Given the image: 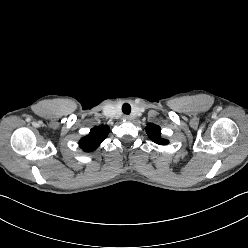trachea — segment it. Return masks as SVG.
I'll return each instance as SVG.
<instances>
[{
	"mask_svg": "<svg viewBox=\"0 0 248 248\" xmlns=\"http://www.w3.org/2000/svg\"><path fill=\"white\" fill-rule=\"evenodd\" d=\"M122 112L124 114H130L131 112V106L128 104V103H125L123 106H122Z\"/></svg>",
	"mask_w": 248,
	"mask_h": 248,
	"instance_id": "obj_1",
	"label": "trachea"
}]
</instances>
